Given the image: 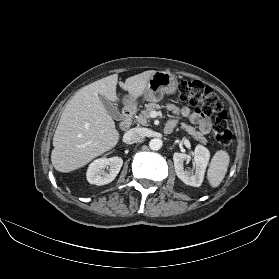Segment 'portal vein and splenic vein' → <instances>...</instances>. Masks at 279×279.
I'll list each match as a JSON object with an SVG mask.
<instances>
[{"label":"portal vein and splenic vein","mask_w":279,"mask_h":279,"mask_svg":"<svg viewBox=\"0 0 279 279\" xmlns=\"http://www.w3.org/2000/svg\"><path fill=\"white\" fill-rule=\"evenodd\" d=\"M157 115H158V112H156V111H151L149 114V116L152 118L156 117Z\"/></svg>","instance_id":"18ae733b"}]
</instances>
